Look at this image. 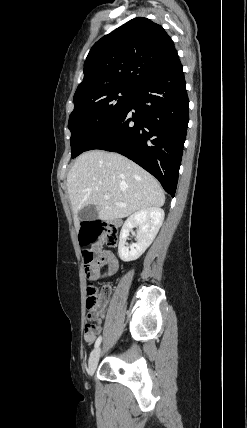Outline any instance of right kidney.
Returning a JSON list of instances; mask_svg holds the SVG:
<instances>
[{"label": "right kidney", "mask_w": 247, "mask_h": 428, "mask_svg": "<svg viewBox=\"0 0 247 428\" xmlns=\"http://www.w3.org/2000/svg\"><path fill=\"white\" fill-rule=\"evenodd\" d=\"M164 220L161 208L150 207L137 211L124 223L119 238L118 253L121 260L129 262L138 259L155 239ZM137 230V242L130 247L126 241L132 228Z\"/></svg>", "instance_id": "obj_1"}]
</instances>
